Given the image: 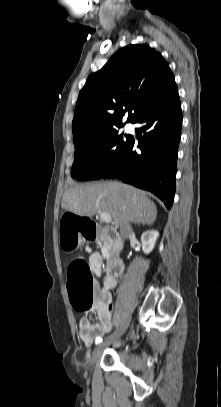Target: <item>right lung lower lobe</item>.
Listing matches in <instances>:
<instances>
[{
	"instance_id": "98d812e1",
	"label": "right lung lower lobe",
	"mask_w": 221,
	"mask_h": 407,
	"mask_svg": "<svg viewBox=\"0 0 221 407\" xmlns=\"http://www.w3.org/2000/svg\"><path fill=\"white\" fill-rule=\"evenodd\" d=\"M134 123L143 124L136 129L141 136L135 151L130 144L119 162L102 178L118 176L123 182L149 190L169 209L176 188L177 154L181 137L182 114L177 87L160 102L144 111Z\"/></svg>"
}]
</instances>
